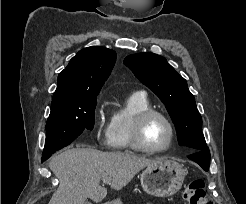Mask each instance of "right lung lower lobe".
<instances>
[{
  "label": "right lung lower lobe",
  "instance_id": "obj_1",
  "mask_svg": "<svg viewBox=\"0 0 246 204\" xmlns=\"http://www.w3.org/2000/svg\"><path fill=\"white\" fill-rule=\"evenodd\" d=\"M48 158H49V157H48ZM48 158H47V157L42 158V162L45 161V160L48 159Z\"/></svg>",
  "mask_w": 246,
  "mask_h": 204
}]
</instances>
